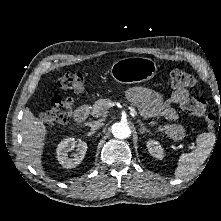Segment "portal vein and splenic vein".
<instances>
[{"instance_id": "portal-vein-and-splenic-vein-1", "label": "portal vein and splenic vein", "mask_w": 221, "mask_h": 221, "mask_svg": "<svg viewBox=\"0 0 221 221\" xmlns=\"http://www.w3.org/2000/svg\"><path fill=\"white\" fill-rule=\"evenodd\" d=\"M111 106H114L113 102L109 103V105H108V107H111ZM129 109H130V111L135 113V110L133 108L129 107ZM188 148L190 149L191 147H188Z\"/></svg>"}]
</instances>
